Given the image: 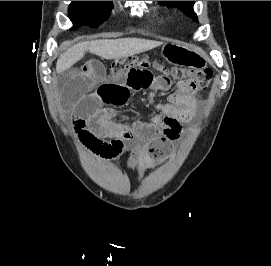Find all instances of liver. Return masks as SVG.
<instances>
[{"label":"liver","instance_id":"6515ba94","mask_svg":"<svg viewBox=\"0 0 271 266\" xmlns=\"http://www.w3.org/2000/svg\"><path fill=\"white\" fill-rule=\"evenodd\" d=\"M161 44L162 43L158 41L139 38L95 40L79 43L68 49L58 58L56 71L57 73H62L63 67H72L83 58L85 52L88 50L102 59L112 60L133 56L156 48Z\"/></svg>","mask_w":271,"mask_h":266}]
</instances>
